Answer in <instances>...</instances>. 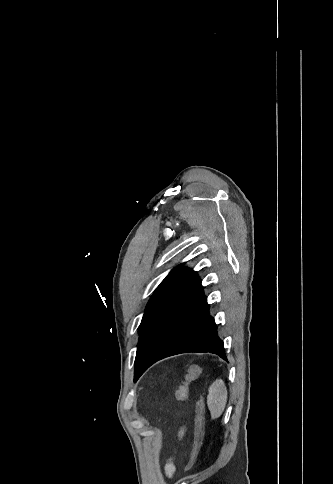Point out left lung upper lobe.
<instances>
[{"instance_id":"obj_1","label":"left lung upper lobe","mask_w":333,"mask_h":484,"mask_svg":"<svg viewBox=\"0 0 333 484\" xmlns=\"http://www.w3.org/2000/svg\"><path fill=\"white\" fill-rule=\"evenodd\" d=\"M184 265V263L176 266L175 268H173L169 275L161 282V284L158 286V288L156 289L155 293L153 294V296L151 297V299L149 300L148 304H147V307L145 309V313L143 315V318H142V321H141V324L139 326V331L147 317V315L149 314L151 308L153 307V305L155 304V302L157 301V299L160 297V295L163 293V291L167 288V286L171 283V281L174 279V277L178 274V272L181 270L182 266ZM139 373V370L137 368H135V377L138 375Z\"/></svg>"}]
</instances>
